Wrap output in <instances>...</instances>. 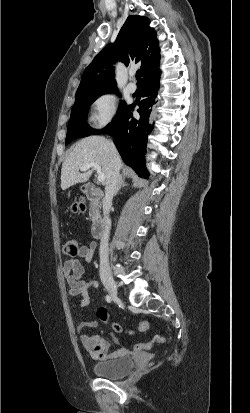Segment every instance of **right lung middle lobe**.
Here are the masks:
<instances>
[{"label":"right lung middle lobe","instance_id":"right-lung-middle-lobe-1","mask_svg":"<svg viewBox=\"0 0 250 413\" xmlns=\"http://www.w3.org/2000/svg\"><path fill=\"white\" fill-rule=\"evenodd\" d=\"M115 90L116 89H111L76 95L68 123V131L65 141L66 145L77 138L90 136L96 132V129L91 128L87 123L89 107L99 96ZM125 107L126 103L121 102L117 113H120Z\"/></svg>","mask_w":250,"mask_h":413}]
</instances>
